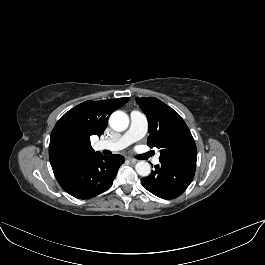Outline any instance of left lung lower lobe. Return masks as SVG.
Returning a JSON list of instances; mask_svg holds the SVG:
<instances>
[{"label":"left lung lower lobe","mask_w":265,"mask_h":265,"mask_svg":"<svg viewBox=\"0 0 265 265\" xmlns=\"http://www.w3.org/2000/svg\"><path fill=\"white\" fill-rule=\"evenodd\" d=\"M196 158L160 160L155 170L141 179L142 185L163 199L180 196L193 180Z\"/></svg>","instance_id":"obj_1"}]
</instances>
